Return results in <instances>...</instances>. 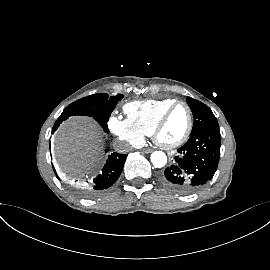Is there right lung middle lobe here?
<instances>
[{
  "label": "right lung middle lobe",
  "mask_w": 270,
  "mask_h": 270,
  "mask_svg": "<svg viewBox=\"0 0 270 270\" xmlns=\"http://www.w3.org/2000/svg\"><path fill=\"white\" fill-rule=\"evenodd\" d=\"M123 98V95L111 96L108 94H94L71 103L62 112L58 119H66L74 115L91 116L94 119L108 121L112 110Z\"/></svg>",
  "instance_id": "obj_1"
}]
</instances>
